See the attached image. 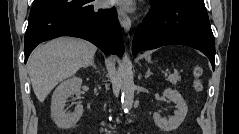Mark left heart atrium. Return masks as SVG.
Listing matches in <instances>:
<instances>
[{"instance_id": "obj_1", "label": "left heart atrium", "mask_w": 239, "mask_h": 134, "mask_svg": "<svg viewBox=\"0 0 239 134\" xmlns=\"http://www.w3.org/2000/svg\"><path fill=\"white\" fill-rule=\"evenodd\" d=\"M119 3L124 5L125 7H128L130 5V1L128 0L119 1Z\"/></svg>"}]
</instances>
